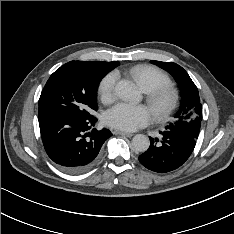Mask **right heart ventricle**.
I'll return each instance as SVG.
<instances>
[{"mask_svg": "<svg viewBox=\"0 0 234 234\" xmlns=\"http://www.w3.org/2000/svg\"><path fill=\"white\" fill-rule=\"evenodd\" d=\"M129 73L144 92H149L158 86L171 85L170 78L151 65H136L130 69Z\"/></svg>", "mask_w": 234, "mask_h": 234, "instance_id": "right-heart-ventricle-1", "label": "right heart ventricle"}]
</instances>
